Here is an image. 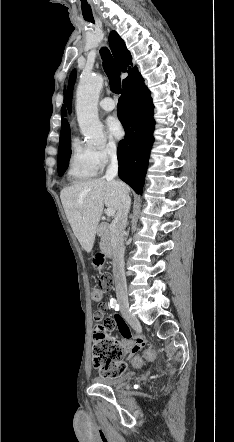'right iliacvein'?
I'll return each instance as SVG.
<instances>
[{"label":"right iliac vein","instance_id":"obj_1","mask_svg":"<svg viewBox=\"0 0 234 442\" xmlns=\"http://www.w3.org/2000/svg\"><path fill=\"white\" fill-rule=\"evenodd\" d=\"M120 306L125 319L132 325L137 326L139 324L138 319L129 311V303L127 300H120Z\"/></svg>","mask_w":234,"mask_h":442}]
</instances>
